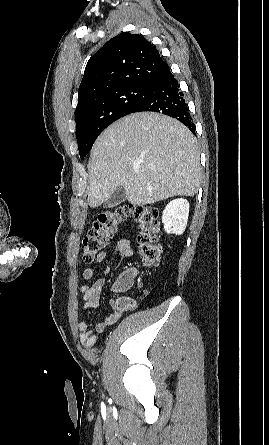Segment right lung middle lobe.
<instances>
[{
  "instance_id": "obj_1",
  "label": "right lung middle lobe",
  "mask_w": 269,
  "mask_h": 445,
  "mask_svg": "<svg viewBox=\"0 0 269 445\" xmlns=\"http://www.w3.org/2000/svg\"><path fill=\"white\" fill-rule=\"evenodd\" d=\"M149 85H127L87 101L75 111L76 138L80 157L91 150L96 138L111 123L133 112Z\"/></svg>"
}]
</instances>
